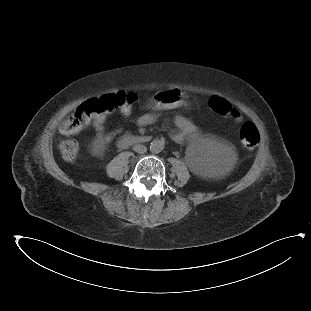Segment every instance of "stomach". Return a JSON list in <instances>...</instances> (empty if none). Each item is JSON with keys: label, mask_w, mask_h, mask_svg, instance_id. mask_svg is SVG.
I'll return each mask as SVG.
<instances>
[{"label": "stomach", "mask_w": 311, "mask_h": 311, "mask_svg": "<svg viewBox=\"0 0 311 311\" xmlns=\"http://www.w3.org/2000/svg\"><path fill=\"white\" fill-rule=\"evenodd\" d=\"M161 93L156 94L152 99V103L159 109L161 108H176L182 105L183 100L181 99L180 95L177 94L172 97H161Z\"/></svg>", "instance_id": "1"}]
</instances>
